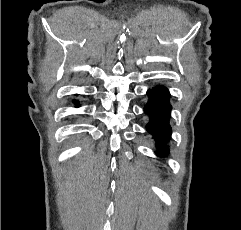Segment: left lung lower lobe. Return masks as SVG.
Here are the masks:
<instances>
[{
    "mask_svg": "<svg viewBox=\"0 0 241 230\" xmlns=\"http://www.w3.org/2000/svg\"><path fill=\"white\" fill-rule=\"evenodd\" d=\"M149 102L145 107V113L150 116L147 131L154 136L157 142L158 155H167L166 142L170 139L171 127L169 125L171 106L170 94L164 86H156L147 92Z\"/></svg>",
    "mask_w": 241,
    "mask_h": 230,
    "instance_id": "left-lung-lower-lobe-1",
    "label": "left lung lower lobe"
}]
</instances>
